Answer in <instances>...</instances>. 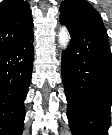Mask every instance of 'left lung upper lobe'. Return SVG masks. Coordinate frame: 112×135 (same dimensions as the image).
I'll list each match as a JSON object with an SVG mask.
<instances>
[{
  "label": "left lung upper lobe",
  "mask_w": 112,
  "mask_h": 135,
  "mask_svg": "<svg viewBox=\"0 0 112 135\" xmlns=\"http://www.w3.org/2000/svg\"><path fill=\"white\" fill-rule=\"evenodd\" d=\"M60 19L70 25L106 31L101 16L86 0L63 1Z\"/></svg>",
  "instance_id": "1"
}]
</instances>
